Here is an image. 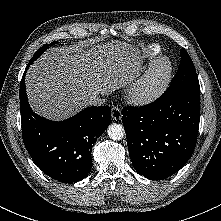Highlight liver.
I'll list each match as a JSON object with an SVG mask.
<instances>
[{"instance_id": "6515ba94", "label": "liver", "mask_w": 221, "mask_h": 221, "mask_svg": "<svg viewBox=\"0 0 221 221\" xmlns=\"http://www.w3.org/2000/svg\"><path fill=\"white\" fill-rule=\"evenodd\" d=\"M140 50L121 41L80 42L51 48L29 68L26 90L32 109L52 120L68 118L93 95H108L139 75Z\"/></svg>"}]
</instances>
